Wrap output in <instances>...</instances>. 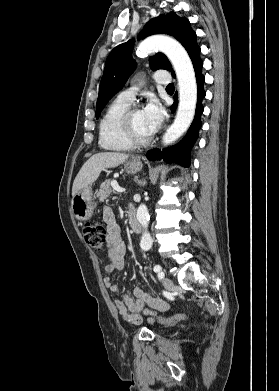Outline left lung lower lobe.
I'll use <instances>...</instances> for the list:
<instances>
[{
    "instance_id": "1",
    "label": "left lung lower lobe",
    "mask_w": 279,
    "mask_h": 391,
    "mask_svg": "<svg viewBox=\"0 0 279 391\" xmlns=\"http://www.w3.org/2000/svg\"><path fill=\"white\" fill-rule=\"evenodd\" d=\"M194 66L196 80H197V105L196 112L194 116V120L191 124L187 135L183 138V140L178 143L176 146L167 148L163 152L159 149L150 150L146 156L150 160H160L163 158L168 163H177L184 167H188L190 165V151L196 142L199 132L198 130L202 126L201 122V114L203 113L204 107L202 106V99L205 97L206 93L203 89V84L205 81V77L201 73V69L203 67V62L200 59V47L196 49L193 55L190 57ZM175 102L171 107L172 112L175 110L177 106V95L174 96Z\"/></svg>"
}]
</instances>
